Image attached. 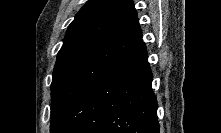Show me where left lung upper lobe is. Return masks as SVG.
Wrapping results in <instances>:
<instances>
[{"label":"left lung upper lobe","mask_w":221,"mask_h":133,"mask_svg":"<svg viewBox=\"0 0 221 133\" xmlns=\"http://www.w3.org/2000/svg\"><path fill=\"white\" fill-rule=\"evenodd\" d=\"M141 41L131 0H90L81 8L68 27L53 70L51 133L88 85Z\"/></svg>","instance_id":"1"}]
</instances>
